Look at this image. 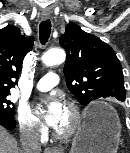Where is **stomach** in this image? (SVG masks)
<instances>
[{"label": "stomach", "instance_id": "1", "mask_svg": "<svg viewBox=\"0 0 130 153\" xmlns=\"http://www.w3.org/2000/svg\"><path fill=\"white\" fill-rule=\"evenodd\" d=\"M120 135L116 111L104 102H95L73 139L71 153H117Z\"/></svg>", "mask_w": 130, "mask_h": 153}]
</instances>
